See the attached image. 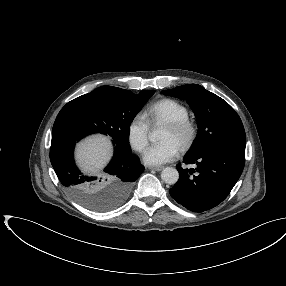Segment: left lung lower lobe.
Segmentation results:
<instances>
[{
	"mask_svg": "<svg viewBox=\"0 0 286 286\" xmlns=\"http://www.w3.org/2000/svg\"><path fill=\"white\" fill-rule=\"evenodd\" d=\"M183 162L196 168L183 169L178 164V182L169 190L176 202L195 212H203L221 203L242 174L245 150L228 146L213 147L187 154Z\"/></svg>",
	"mask_w": 286,
	"mask_h": 286,
	"instance_id": "obj_1",
	"label": "left lung lower lobe"
}]
</instances>
